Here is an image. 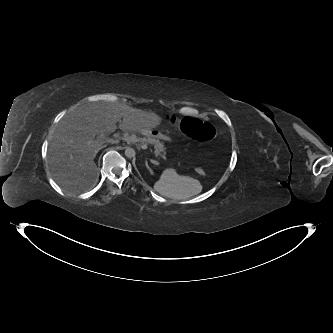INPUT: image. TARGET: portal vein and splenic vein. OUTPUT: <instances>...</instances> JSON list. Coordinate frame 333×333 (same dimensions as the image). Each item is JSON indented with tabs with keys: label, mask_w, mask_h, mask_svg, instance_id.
Listing matches in <instances>:
<instances>
[{
	"label": "portal vein and splenic vein",
	"mask_w": 333,
	"mask_h": 333,
	"mask_svg": "<svg viewBox=\"0 0 333 333\" xmlns=\"http://www.w3.org/2000/svg\"><path fill=\"white\" fill-rule=\"evenodd\" d=\"M121 139L124 140V141H127V142H138V141H140L142 143H146L145 139H138V138H132V137H125V136L121 137ZM154 152H155L156 155H159V151L156 148H155ZM151 162L153 164H158V162L156 160H151Z\"/></svg>",
	"instance_id": "portal-vein-and-splenic-vein-1"
}]
</instances>
